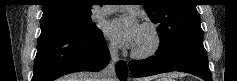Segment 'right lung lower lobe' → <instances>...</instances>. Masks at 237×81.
<instances>
[{"instance_id":"1","label":"right lung lower lobe","mask_w":237,"mask_h":81,"mask_svg":"<svg viewBox=\"0 0 237 81\" xmlns=\"http://www.w3.org/2000/svg\"><path fill=\"white\" fill-rule=\"evenodd\" d=\"M109 60L103 34L95 37L59 30H42L37 43L32 81H53L77 71H99ZM120 80L127 78V66L117 64Z\"/></svg>"}]
</instances>
